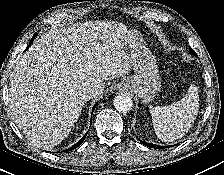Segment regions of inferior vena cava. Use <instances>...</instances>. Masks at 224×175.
<instances>
[{
    "mask_svg": "<svg viewBox=\"0 0 224 175\" xmlns=\"http://www.w3.org/2000/svg\"><path fill=\"white\" fill-rule=\"evenodd\" d=\"M100 93H99V91L97 90V89H95V88H87V89H85V91L83 92V94H82V97H83V99L85 100V101H88V100H90L91 98H93V97H95V96H97V95H99Z\"/></svg>",
    "mask_w": 224,
    "mask_h": 175,
    "instance_id": "602c4592",
    "label": "inferior vena cava"
}]
</instances>
